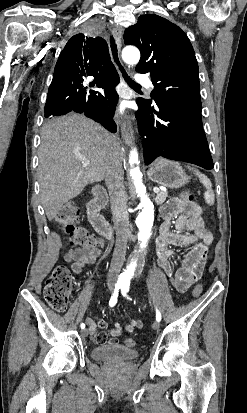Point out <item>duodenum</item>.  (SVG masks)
I'll list each match as a JSON object with an SVG mask.
<instances>
[{
  "instance_id": "obj_1",
  "label": "duodenum",
  "mask_w": 247,
  "mask_h": 413,
  "mask_svg": "<svg viewBox=\"0 0 247 413\" xmlns=\"http://www.w3.org/2000/svg\"><path fill=\"white\" fill-rule=\"evenodd\" d=\"M107 192L103 187H96L88 203V220L95 230L106 238H112L111 225L100 215L107 204Z\"/></svg>"
}]
</instances>
